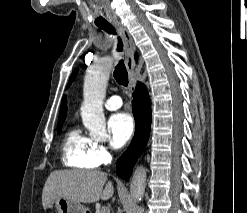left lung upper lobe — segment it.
Returning a JSON list of instances; mask_svg holds the SVG:
<instances>
[{
	"instance_id": "obj_1",
	"label": "left lung upper lobe",
	"mask_w": 247,
	"mask_h": 213,
	"mask_svg": "<svg viewBox=\"0 0 247 213\" xmlns=\"http://www.w3.org/2000/svg\"><path fill=\"white\" fill-rule=\"evenodd\" d=\"M77 72H78V70L76 69V70L72 73V75H71V77H70V81H69V83H68V87H69L71 81L75 78Z\"/></svg>"
}]
</instances>
